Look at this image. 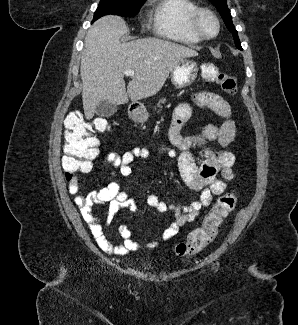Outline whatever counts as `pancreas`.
I'll use <instances>...</instances> for the list:
<instances>
[{"label":"pancreas","mask_w":298,"mask_h":325,"mask_svg":"<svg viewBox=\"0 0 298 325\" xmlns=\"http://www.w3.org/2000/svg\"><path fill=\"white\" fill-rule=\"evenodd\" d=\"M164 102H166V98H159L157 102V106H159L157 112H160V110H162V104H164Z\"/></svg>","instance_id":"1"}]
</instances>
